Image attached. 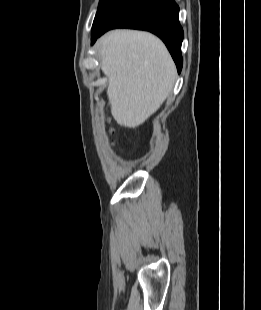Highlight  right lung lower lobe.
<instances>
[{"instance_id":"98d812e1","label":"right lung lower lobe","mask_w":261,"mask_h":310,"mask_svg":"<svg viewBox=\"0 0 261 310\" xmlns=\"http://www.w3.org/2000/svg\"><path fill=\"white\" fill-rule=\"evenodd\" d=\"M179 7L174 0H129L103 25L92 29V43L113 28L147 30L162 39L180 73L183 29L178 21Z\"/></svg>"}]
</instances>
